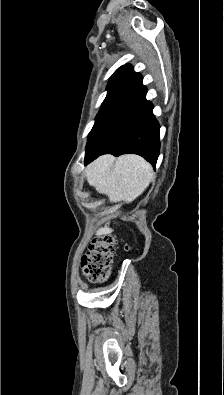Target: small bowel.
Instances as JSON below:
<instances>
[{
	"mask_svg": "<svg viewBox=\"0 0 224 395\" xmlns=\"http://www.w3.org/2000/svg\"><path fill=\"white\" fill-rule=\"evenodd\" d=\"M82 275H83V277H85V278L88 277V275L86 274V272H85L84 270L82 271Z\"/></svg>",
	"mask_w": 224,
	"mask_h": 395,
	"instance_id": "1",
	"label": "small bowel"
}]
</instances>
